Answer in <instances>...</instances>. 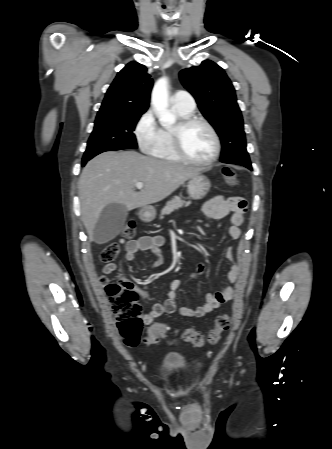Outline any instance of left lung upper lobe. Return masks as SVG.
<instances>
[{
	"label": "left lung upper lobe",
	"instance_id": "left-lung-upper-lobe-1",
	"mask_svg": "<svg viewBox=\"0 0 332 449\" xmlns=\"http://www.w3.org/2000/svg\"><path fill=\"white\" fill-rule=\"evenodd\" d=\"M180 80L219 135L221 161L250 169L241 111L235 89L225 71L216 63L205 60L200 66L183 69Z\"/></svg>",
	"mask_w": 332,
	"mask_h": 449
}]
</instances>
